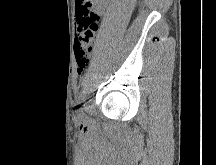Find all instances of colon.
I'll list each match as a JSON object with an SVG mask.
<instances>
[{
	"label": "colon",
	"instance_id": "colon-1",
	"mask_svg": "<svg viewBox=\"0 0 216 165\" xmlns=\"http://www.w3.org/2000/svg\"><path fill=\"white\" fill-rule=\"evenodd\" d=\"M98 30V16L92 10H82V19L77 27L75 54L78 68L83 70L89 63L95 34Z\"/></svg>",
	"mask_w": 216,
	"mask_h": 165
}]
</instances>
